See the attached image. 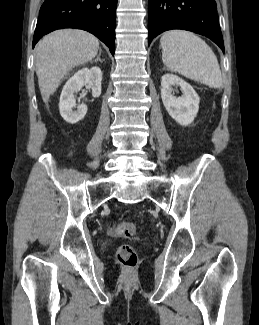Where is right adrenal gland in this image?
<instances>
[{"mask_svg": "<svg viewBox=\"0 0 259 325\" xmlns=\"http://www.w3.org/2000/svg\"><path fill=\"white\" fill-rule=\"evenodd\" d=\"M100 56H101V49H100V51H99V55L97 56V58H96L94 61H91V63H93V62H97V61L102 62V60L100 59Z\"/></svg>", "mask_w": 259, "mask_h": 325, "instance_id": "2a0ac1e0", "label": "right adrenal gland"}]
</instances>
